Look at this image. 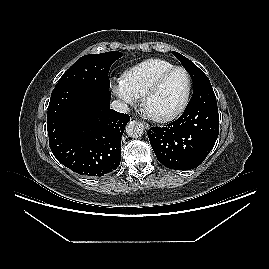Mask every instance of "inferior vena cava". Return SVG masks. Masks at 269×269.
I'll return each instance as SVG.
<instances>
[{"instance_id": "1", "label": "inferior vena cava", "mask_w": 269, "mask_h": 269, "mask_svg": "<svg viewBox=\"0 0 269 269\" xmlns=\"http://www.w3.org/2000/svg\"><path fill=\"white\" fill-rule=\"evenodd\" d=\"M111 108L119 113H127L129 111L128 105L120 100H115L111 103Z\"/></svg>"}]
</instances>
